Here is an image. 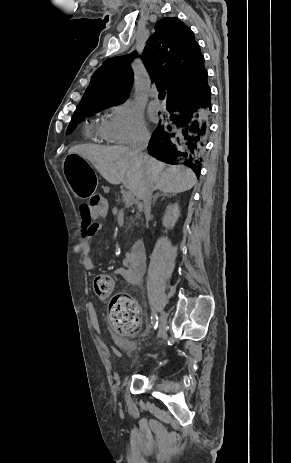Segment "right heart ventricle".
I'll use <instances>...</instances> for the list:
<instances>
[{
    "label": "right heart ventricle",
    "instance_id": "obj_1",
    "mask_svg": "<svg viewBox=\"0 0 291 463\" xmlns=\"http://www.w3.org/2000/svg\"><path fill=\"white\" fill-rule=\"evenodd\" d=\"M106 120L92 125L89 129V136L95 140H108L106 137Z\"/></svg>",
    "mask_w": 291,
    "mask_h": 463
}]
</instances>
